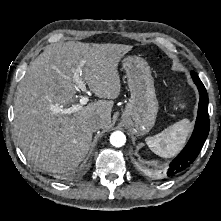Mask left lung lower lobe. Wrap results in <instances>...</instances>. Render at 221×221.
Listing matches in <instances>:
<instances>
[{"label":"left lung lower lobe","mask_w":221,"mask_h":221,"mask_svg":"<svg viewBox=\"0 0 221 221\" xmlns=\"http://www.w3.org/2000/svg\"><path fill=\"white\" fill-rule=\"evenodd\" d=\"M194 82L197 85L200 93V101L195 128L187 145L184 147L181 153L170 163L169 168L165 173L166 177H172L187 169L200 153L204 142L209 134L210 122L208 116V95L201 80H194Z\"/></svg>","instance_id":"0a47b994"}]
</instances>
